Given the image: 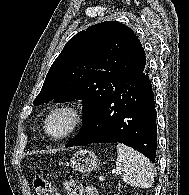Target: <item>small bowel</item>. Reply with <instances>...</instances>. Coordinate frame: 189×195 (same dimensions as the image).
<instances>
[{
	"label": "small bowel",
	"instance_id": "1",
	"mask_svg": "<svg viewBox=\"0 0 189 195\" xmlns=\"http://www.w3.org/2000/svg\"><path fill=\"white\" fill-rule=\"evenodd\" d=\"M85 195H99V193L95 187L90 186L86 188Z\"/></svg>",
	"mask_w": 189,
	"mask_h": 195
}]
</instances>
